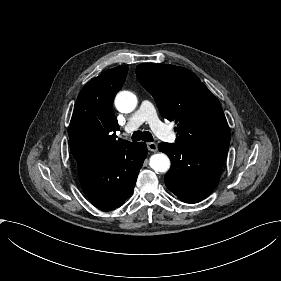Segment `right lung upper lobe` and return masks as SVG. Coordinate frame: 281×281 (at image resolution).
I'll return each instance as SVG.
<instances>
[{
    "label": "right lung upper lobe",
    "instance_id": "cb5924a9",
    "mask_svg": "<svg viewBox=\"0 0 281 281\" xmlns=\"http://www.w3.org/2000/svg\"><path fill=\"white\" fill-rule=\"evenodd\" d=\"M127 72V66L110 69L90 80L80 91L68 128L69 146L76 161L111 155L130 143L116 140L119 125L113 112V98L125 82Z\"/></svg>",
    "mask_w": 281,
    "mask_h": 281
}]
</instances>
